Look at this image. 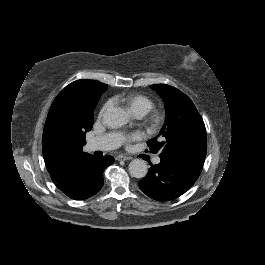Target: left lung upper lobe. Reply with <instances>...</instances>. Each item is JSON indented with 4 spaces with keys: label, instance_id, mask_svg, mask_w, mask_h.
I'll return each mask as SVG.
<instances>
[{
    "label": "left lung upper lobe",
    "instance_id": "5c2ea615",
    "mask_svg": "<svg viewBox=\"0 0 265 265\" xmlns=\"http://www.w3.org/2000/svg\"><path fill=\"white\" fill-rule=\"evenodd\" d=\"M152 88L164 99L166 121L157 138L147 143L152 152L160 150V157L206 156L207 138L204 122L191 99L180 90L165 84Z\"/></svg>",
    "mask_w": 265,
    "mask_h": 265
}]
</instances>
